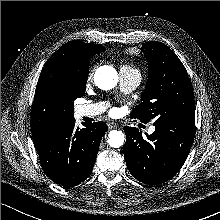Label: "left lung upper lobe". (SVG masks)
Here are the masks:
<instances>
[{"mask_svg": "<svg viewBox=\"0 0 220 220\" xmlns=\"http://www.w3.org/2000/svg\"><path fill=\"white\" fill-rule=\"evenodd\" d=\"M141 54L148 61V80L141 103L132 118L153 125L167 120L195 124L194 93L186 68L172 50L157 41L142 44Z\"/></svg>", "mask_w": 220, "mask_h": 220, "instance_id": "5c2ea615", "label": "left lung upper lobe"}]
</instances>
